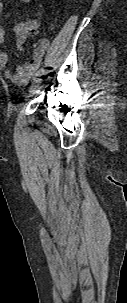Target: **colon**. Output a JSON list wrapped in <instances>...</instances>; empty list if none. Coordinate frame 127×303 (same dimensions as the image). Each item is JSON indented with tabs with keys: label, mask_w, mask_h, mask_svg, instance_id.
<instances>
[{
	"label": "colon",
	"mask_w": 127,
	"mask_h": 303,
	"mask_svg": "<svg viewBox=\"0 0 127 303\" xmlns=\"http://www.w3.org/2000/svg\"><path fill=\"white\" fill-rule=\"evenodd\" d=\"M27 30H29V31H34V30H35L34 25H30V26L27 28Z\"/></svg>",
	"instance_id": "5ec220e1"
}]
</instances>
